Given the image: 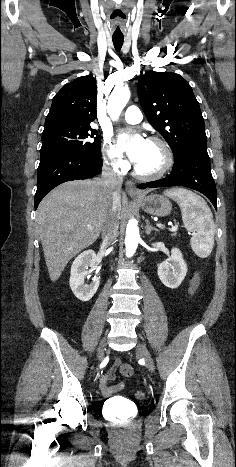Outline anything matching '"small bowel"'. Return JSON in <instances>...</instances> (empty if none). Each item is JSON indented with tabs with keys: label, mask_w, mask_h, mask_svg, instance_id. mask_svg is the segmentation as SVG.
Here are the masks:
<instances>
[{
	"label": "small bowel",
	"mask_w": 236,
	"mask_h": 467,
	"mask_svg": "<svg viewBox=\"0 0 236 467\" xmlns=\"http://www.w3.org/2000/svg\"><path fill=\"white\" fill-rule=\"evenodd\" d=\"M192 290V289H191ZM194 291V290H192ZM120 371L122 380L116 384L111 385L116 373ZM133 374V368L127 363H123L120 359H116L109 371L105 373L100 379V390L104 396H110L113 393L121 391L125 387V380L131 377Z\"/></svg>",
	"instance_id": "c3829d8e"
}]
</instances>
